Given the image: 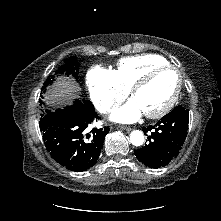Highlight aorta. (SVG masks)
Returning a JSON list of instances; mask_svg holds the SVG:
<instances>
[{
    "label": "aorta",
    "mask_w": 221,
    "mask_h": 221,
    "mask_svg": "<svg viewBox=\"0 0 221 221\" xmlns=\"http://www.w3.org/2000/svg\"><path fill=\"white\" fill-rule=\"evenodd\" d=\"M130 142L134 146H141L144 143V135L139 130H134L130 134Z\"/></svg>",
    "instance_id": "obj_1"
}]
</instances>
